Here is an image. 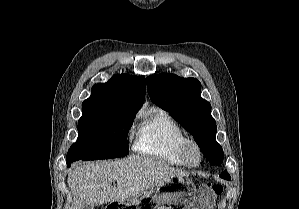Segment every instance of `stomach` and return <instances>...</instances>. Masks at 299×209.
<instances>
[{
  "label": "stomach",
  "instance_id": "stomach-1",
  "mask_svg": "<svg viewBox=\"0 0 299 209\" xmlns=\"http://www.w3.org/2000/svg\"><path fill=\"white\" fill-rule=\"evenodd\" d=\"M196 186L185 176H176L133 200L112 202L109 209H195Z\"/></svg>",
  "mask_w": 299,
  "mask_h": 209
}]
</instances>
